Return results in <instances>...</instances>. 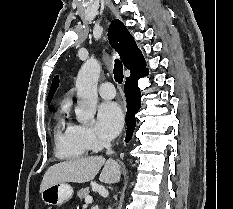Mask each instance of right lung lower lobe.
Wrapping results in <instances>:
<instances>
[{"label": "right lung lower lobe", "mask_w": 233, "mask_h": 209, "mask_svg": "<svg viewBox=\"0 0 233 209\" xmlns=\"http://www.w3.org/2000/svg\"><path fill=\"white\" fill-rule=\"evenodd\" d=\"M148 74V69L143 73L127 78L124 86L126 101H127V113H126V124H127V135L126 141L131 139L133 131L135 129L136 119L135 114L141 107V94L138 88L137 81L139 78L146 76Z\"/></svg>", "instance_id": "obj_1"}]
</instances>
